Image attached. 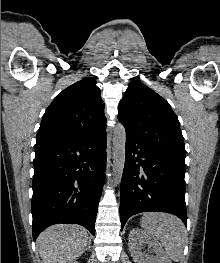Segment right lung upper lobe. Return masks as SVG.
Segmentation results:
<instances>
[{
  "mask_svg": "<svg viewBox=\"0 0 220 263\" xmlns=\"http://www.w3.org/2000/svg\"><path fill=\"white\" fill-rule=\"evenodd\" d=\"M95 84L87 77L63 90L46 109L36 143L64 141L105 130L104 102Z\"/></svg>",
  "mask_w": 220,
  "mask_h": 263,
  "instance_id": "obj_1",
  "label": "right lung upper lobe"
}]
</instances>
